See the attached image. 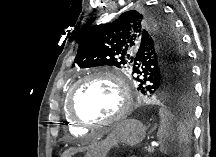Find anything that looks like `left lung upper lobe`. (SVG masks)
<instances>
[{
    "label": "left lung upper lobe",
    "instance_id": "left-lung-upper-lobe-1",
    "mask_svg": "<svg viewBox=\"0 0 216 157\" xmlns=\"http://www.w3.org/2000/svg\"><path fill=\"white\" fill-rule=\"evenodd\" d=\"M163 13L143 6L94 27L83 35L75 64L128 68L144 95H179L191 105L194 91L188 57Z\"/></svg>",
    "mask_w": 216,
    "mask_h": 157
}]
</instances>
